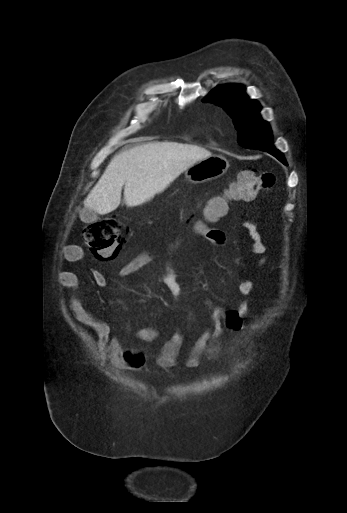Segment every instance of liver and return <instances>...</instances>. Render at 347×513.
Returning <instances> with one entry per match:
<instances>
[{
  "mask_svg": "<svg viewBox=\"0 0 347 513\" xmlns=\"http://www.w3.org/2000/svg\"><path fill=\"white\" fill-rule=\"evenodd\" d=\"M211 155L210 151L196 145L167 141L120 152L88 194L83 210L101 215L114 211L121 202L123 186L125 204L141 205L162 192L188 167ZM80 218L84 221L81 215Z\"/></svg>",
  "mask_w": 347,
  "mask_h": 513,
  "instance_id": "6515ba94",
  "label": "liver"
}]
</instances>
